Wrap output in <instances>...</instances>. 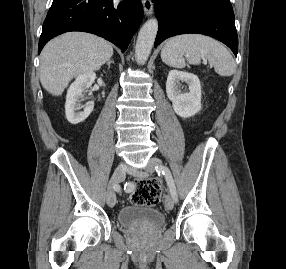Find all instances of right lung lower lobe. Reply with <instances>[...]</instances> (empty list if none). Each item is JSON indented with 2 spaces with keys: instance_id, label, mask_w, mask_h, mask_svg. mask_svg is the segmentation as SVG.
<instances>
[{
  "instance_id": "right-lung-lower-lobe-1",
  "label": "right lung lower lobe",
  "mask_w": 286,
  "mask_h": 269,
  "mask_svg": "<svg viewBox=\"0 0 286 269\" xmlns=\"http://www.w3.org/2000/svg\"><path fill=\"white\" fill-rule=\"evenodd\" d=\"M143 14L139 1L54 0L43 23L38 54L53 37L69 31L99 35L124 52Z\"/></svg>"
}]
</instances>
